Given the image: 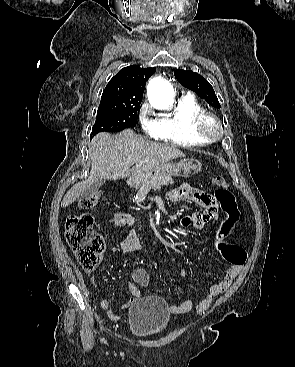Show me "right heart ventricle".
I'll return each mask as SVG.
<instances>
[{"label": "right heart ventricle", "instance_id": "obj_1", "mask_svg": "<svg viewBox=\"0 0 295 367\" xmlns=\"http://www.w3.org/2000/svg\"><path fill=\"white\" fill-rule=\"evenodd\" d=\"M203 111L201 105L191 96L181 97L173 112L159 119L158 139L183 147L203 146L208 143L193 129L195 117Z\"/></svg>", "mask_w": 295, "mask_h": 367}]
</instances>
